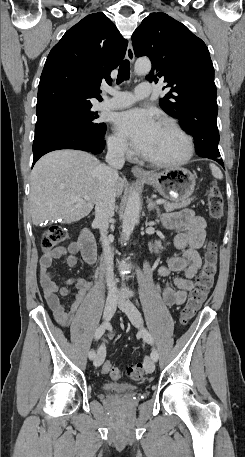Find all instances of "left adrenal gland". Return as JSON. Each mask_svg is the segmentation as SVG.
I'll return each mask as SVG.
<instances>
[{"mask_svg": "<svg viewBox=\"0 0 245 457\" xmlns=\"http://www.w3.org/2000/svg\"><path fill=\"white\" fill-rule=\"evenodd\" d=\"M147 202H148V210H156L157 212V216H160L161 214V210L158 206V204H156V202H153V198H147Z\"/></svg>", "mask_w": 245, "mask_h": 457, "instance_id": "a2214340", "label": "left adrenal gland"}]
</instances>
